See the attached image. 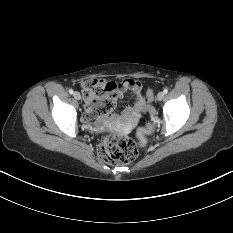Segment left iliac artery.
<instances>
[{
	"label": "left iliac artery",
	"mask_w": 233,
	"mask_h": 233,
	"mask_svg": "<svg viewBox=\"0 0 233 233\" xmlns=\"http://www.w3.org/2000/svg\"><path fill=\"white\" fill-rule=\"evenodd\" d=\"M163 92H164V94H167V93H168V89L165 88V89L163 90Z\"/></svg>",
	"instance_id": "obj_1"
}]
</instances>
